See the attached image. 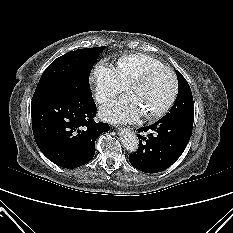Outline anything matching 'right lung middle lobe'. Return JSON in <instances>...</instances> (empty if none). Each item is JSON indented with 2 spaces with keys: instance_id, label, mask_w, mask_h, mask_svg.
Listing matches in <instances>:
<instances>
[{
  "instance_id": "right-lung-middle-lobe-1",
  "label": "right lung middle lobe",
  "mask_w": 233,
  "mask_h": 233,
  "mask_svg": "<svg viewBox=\"0 0 233 233\" xmlns=\"http://www.w3.org/2000/svg\"><path fill=\"white\" fill-rule=\"evenodd\" d=\"M103 47L70 51L54 60L42 74L33 99L68 90L72 87L88 90L89 75Z\"/></svg>"
}]
</instances>
